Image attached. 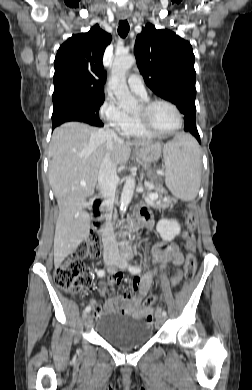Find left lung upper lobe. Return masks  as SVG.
<instances>
[{
  "mask_svg": "<svg viewBox=\"0 0 252 390\" xmlns=\"http://www.w3.org/2000/svg\"><path fill=\"white\" fill-rule=\"evenodd\" d=\"M134 54L153 92L175 104L184 116L196 113L195 57L188 41L148 23L137 35Z\"/></svg>",
  "mask_w": 252,
  "mask_h": 390,
  "instance_id": "5c2ea615",
  "label": "left lung upper lobe"
}]
</instances>
